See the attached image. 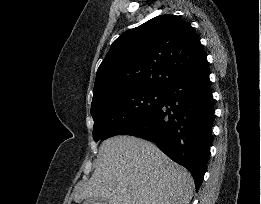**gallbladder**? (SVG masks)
I'll return each instance as SVG.
<instances>
[{
    "instance_id": "obj_1",
    "label": "gallbladder",
    "mask_w": 261,
    "mask_h": 204,
    "mask_svg": "<svg viewBox=\"0 0 261 204\" xmlns=\"http://www.w3.org/2000/svg\"><path fill=\"white\" fill-rule=\"evenodd\" d=\"M83 204H109L108 200L104 199H96V198H89L86 199Z\"/></svg>"
}]
</instances>
